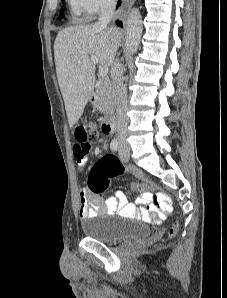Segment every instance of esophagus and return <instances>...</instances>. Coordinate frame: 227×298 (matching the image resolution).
Returning a JSON list of instances; mask_svg holds the SVG:
<instances>
[{
    "label": "esophagus",
    "mask_w": 227,
    "mask_h": 298,
    "mask_svg": "<svg viewBox=\"0 0 227 298\" xmlns=\"http://www.w3.org/2000/svg\"><path fill=\"white\" fill-rule=\"evenodd\" d=\"M133 1V0H132ZM118 19L121 21V22H123L124 23V18H123V16L122 15H119L118 16Z\"/></svg>",
    "instance_id": "obj_1"
}]
</instances>
